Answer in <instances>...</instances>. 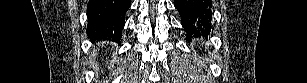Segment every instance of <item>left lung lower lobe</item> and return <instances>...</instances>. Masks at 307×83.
<instances>
[{"mask_svg": "<svg viewBox=\"0 0 307 83\" xmlns=\"http://www.w3.org/2000/svg\"><path fill=\"white\" fill-rule=\"evenodd\" d=\"M174 5L181 16V24L187 32V39L192 36H208L212 29V2L209 0H174Z\"/></svg>", "mask_w": 307, "mask_h": 83, "instance_id": "obj_1", "label": "left lung lower lobe"}]
</instances>
